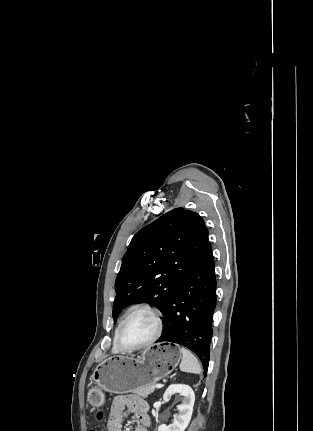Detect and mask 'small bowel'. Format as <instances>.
Wrapping results in <instances>:
<instances>
[{
    "label": "small bowel",
    "instance_id": "1",
    "mask_svg": "<svg viewBox=\"0 0 313 431\" xmlns=\"http://www.w3.org/2000/svg\"><path fill=\"white\" fill-rule=\"evenodd\" d=\"M127 409L131 410L138 418L139 425L135 431H148L150 424L148 405L135 395H119L115 397L107 422L108 431H123L122 424L127 416Z\"/></svg>",
    "mask_w": 313,
    "mask_h": 431
}]
</instances>
